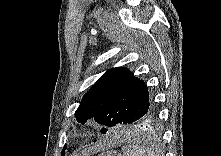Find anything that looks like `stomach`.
Listing matches in <instances>:
<instances>
[{
  "label": "stomach",
  "mask_w": 221,
  "mask_h": 156,
  "mask_svg": "<svg viewBox=\"0 0 221 156\" xmlns=\"http://www.w3.org/2000/svg\"><path fill=\"white\" fill-rule=\"evenodd\" d=\"M98 156H122L120 153H117L116 151H106L102 152Z\"/></svg>",
  "instance_id": "0dacf381"
}]
</instances>
